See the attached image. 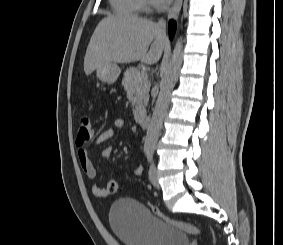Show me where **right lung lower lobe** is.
<instances>
[{
  "label": "right lung lower lobe",
  "instance_id": "98d812e1",
  "mask_svg": "<svg viewBox=\"0 0 283 245\" xmlns=\"http://www.w3.org/2000/svg\"><path fill=\"white\" fill-rule=\"evenodd\" d=\"M168 29H169V36L172 39V37H173V35L175 33V30H176V23H175V21L171 20L169 22Z\"/></svg>",
  "mask_w": 283,
  "mask_h": 245
}]
</instances>
